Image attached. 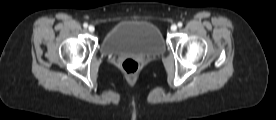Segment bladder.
<instances>
[{"mask_svg": "<svg viewBox=\"0 0 276 120\" xmlns=\"http://www.w3.org/2000/svg\"><path fill=\"white\" fill-rule=\"evenodd\" d=\"M166 45L160 29L141 20H122L105 33L101 51L107 56L161 55Z\"/></svg>", "mask_w": 276, "mask_h": 120, "instance_id": "bladder-1", "label": "bladder"}]
</instances>
